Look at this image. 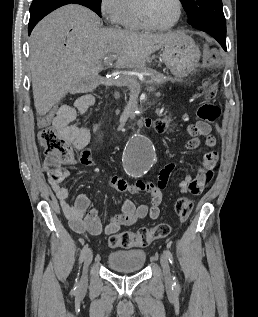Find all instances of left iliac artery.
Returning a JSON list of instances; mask_svg holds the SVG:
<instances>
[{
	"label": "left iliac artery",
	"instance_id": "1",
	"mask_svg": "<svg viewBox=\"0 0 258 317\" xmlns=\"http://www.w3.org/2000/svg\"><path fill=\"white\" fill-rule=\"evenodd\" d=\"M165 255L166 257L168 258L169 262L174 265V260H173V256H172V253L171 251L167 248L165 250ZM175 271H173L174 273ZM172 280H173V284H172V291L176 294H179L181 292V287H180V284H179V281L177 279V277L175 276V273L172 277Z\"/></svg>",
	"mask_w": 258,
	"mask_h": 317
}]
</instances>
